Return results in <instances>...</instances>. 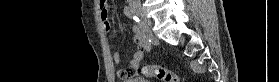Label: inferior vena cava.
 I'll list each match as a JSON object with an SVG mask.
<instances>
[{
    "label": "inferior vena cava",
    "instance_id": "1",
    "mask_svg": "<svg viewBox=\"0 0 279 82\" xmlns=\"http://www.w3.org/2000/svg\"><path fill=\"white\" fill-rule=\"evenodd\" d=\"M136 2H137V3H139V2H140V0H136Z\"/></svg>",
    "mask_w": 279,
    "mask_h": 82
}]
</instances>
